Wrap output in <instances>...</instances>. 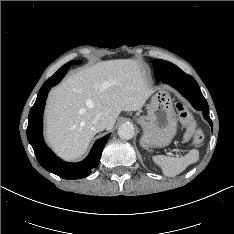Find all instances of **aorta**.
Segmentation results:
<instances>
[{"mask_svg":"<svg viewBox=\"0 0 234 234\" xmlns=\"http://www.w3.org/2000/svg\"><path fill=\"white\" fill-rule=\"evenodd\" d=\"M118 135L123 140H130L134 136V127L132 124L125 123L118 128Z\"/></svg>","mask_w":234,"mask_h":234,"instance_id":"aorta-1","label":"aorta"}]
</instances>
